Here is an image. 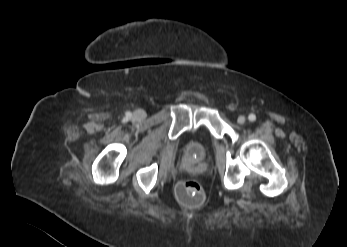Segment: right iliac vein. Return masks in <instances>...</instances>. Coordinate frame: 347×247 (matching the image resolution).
<instances>
[{
	"label": "right iliac vein",
	"instance_id": "obj_1",
	"mask_svg": "<svg viewBox=\"0 0 347 247\" xmlns=\"http://www.w3.org/2000/svg\"><path fill=\"white\" fill-rule=\"evenodd\" d=\"M134 118L137 119V120H140L142 118L145 117V111L140 109V110H137L136 112H134Z\"/></svg>",
	"mask_w": 347,
	"mask_h": 247
}]
</instances>
